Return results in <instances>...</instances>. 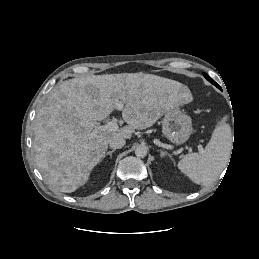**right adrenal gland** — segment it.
<instances>
[{
	"label": "right adrenal gland",
	"mask_w": 259,
	"mask_h": 259,
	"mask_svg": "<svg viewBox=\"0 0 259 259\" xmlns=\"http://www.w3.org/2000/svg\"><path fill=\"white\" fill-rule=\"evenodd\" d=\"M114 152H115V149H113V150H111V151H108V152L103 156V158L106 157L107 155H109L110 158H112V154H113Z\"/></svg>",
	"instance_id": "2a0ac1e0"
}]
</instances>
